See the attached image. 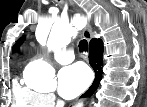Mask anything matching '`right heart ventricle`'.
I'll list each match as a JSON object with an SVG mask.
<instances>
[{"instance_id":"obj_1","label":"right heart ventricle","mask_w":147,"mask_h":107,"mask_svg":"<svg viewBox=\"0 0 147 107\" xmlns=\"http://www.w3.org/2000/svg\"><path fill=\"white\" fill-rule=\"evenodd\" d=\"M13 104L15 107H38L43 105L42 95L15 80L12 86Z\"/></svg>"}]
</instances>
